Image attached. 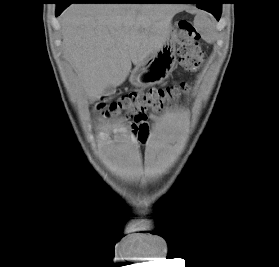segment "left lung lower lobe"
Returning a JSON list of instances; mask_svg holds the SVG:
<instances>
[{
	"mask_svg": "<svg viewBox=\"0 0 279 267\" xmlns=\"http://www.w3.org/2000/svg\"><path fill=\"white\" fill-rule=\"evenodd\" d=\"M168 3H196L197 8L206 10L212 13L217 20H219L221 15V4L222 0H175Z\"/></svg>",
	"mask_w": 279,
	"mask_h": 267,
	"instance_id": "1",
	"label": "left lung lower lobe"
}]
</instances>
